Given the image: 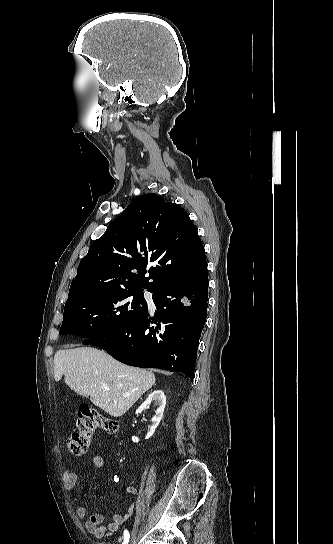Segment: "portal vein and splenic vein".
Returning <instances> with one entry per match:
<instances>
[{
    "label": "portal vein and splenic vein",
    "instance_id": "1",
    "mask_svg": "<svg viewBox=\"0 0 333 544\" xmlns=\"http://www.w3.org/2000/svg\"><path fill=\"white\" fill-rule=\"evenodd\" d=\"M104 389H105L106 391L110 390L109 386H104ZM123 396L126 397V396H129V394H126V395H123Z\"/></svg>",
    "mask_w": 333,
    "mask_h": 544
}]
</instances>
